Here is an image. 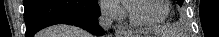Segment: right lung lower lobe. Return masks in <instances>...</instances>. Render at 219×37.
Listing matches in <instances>:
<instances>
[{
	"instance_id": "1",
	"label": "right lung lower lobe",
	"mask_w": 219,
	"mask_h": 37,
	"mask_svg": "<svg viewBox=\"0 0 219 37\" xmlns=\"http://www.w3.org/2000/svg\"><path fill=\"white\" fill-rule=\"evenodd\" d=\"M98 15L95 0H24L25 37H33L40 29L61 23L102 35Z\"/></svg>"
}]
</instances>
